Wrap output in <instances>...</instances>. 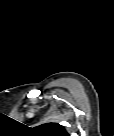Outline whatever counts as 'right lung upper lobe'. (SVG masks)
<instances>
[{"instance_id": "cb5924a9", "label": "right lung upper lobe", "mask_w": 114, "mask_h": 136, "mask_svg": "<svg viewBox=\"0 0 114 136\" xmlns=\"http://www.w3.org/2000/svg\"><path fill=\"white\" fill-rule=\"evenodd\" d=\"M33 131L40 136H68L65 128L57 123L42 124Z\"/></svg>"}]
</instances>
